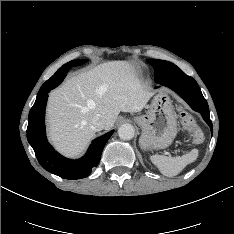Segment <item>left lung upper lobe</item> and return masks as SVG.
<instances>
[{"label": "left lung upper lobe", "instance_id": "obj_1", "mask_svg": "<svg viewBox=\"0 0 234 234\" xmlns=\"http://www.w3.org/2000/svg\"><path fill=\"white\" fill-rule=\"evenodd\" d=\"M155 70V81L158 83L163 79L179 76L184 72L171 62L165 60H147Z\"/></svg>", "mask_w": 234, "mask_h": 234}]
</instances>
